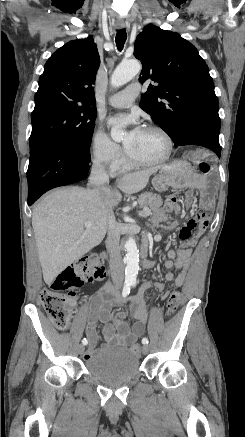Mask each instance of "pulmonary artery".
Segmentation results:
<instances>
[{
  "mask_svg": "<svg viewBox=\"0 0 245 437\" xmlns=\"http://www.w3.org/2000/svg\"><path fill=\"white\" fill-rule=\"evenodd\" d=\"M140 91L138 83L130 84L123 91H120L109 98V104L116 108L130 107Z\"/></svg>",
  "mask_w": 245,
  "mask_h": 437,
  "instance_id": "1",
  "label": "pulmonary artery"
}]
</instances>
